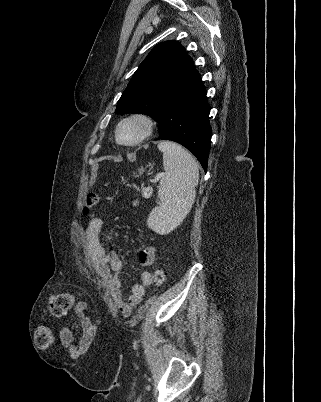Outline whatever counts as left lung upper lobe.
Segmentation results:
<instances>
[{
	"mask_svg": "<svg viewBox=\"0 0 321 402\" xmlns=\"http://www.w3.org/2000/svg\"><path fill=\"white\" fill-rule=\"evenodd\" d=\"M195 69L192 59L176 41L158 44L134 73L116 113H143L156 121L168 94Z\"/></svg>",
	"mask_w": 321,
	"mask_h": 402,
	"instance_id": "5c2ea615",
	"label": "left lung upper lobe"
}]
</instances>
